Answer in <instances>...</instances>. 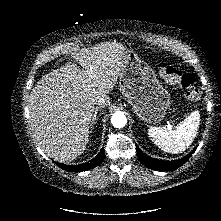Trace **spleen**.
Returning <instances> with one entry per match:
<instances>
[{"instance_id":"spleen-1","label":"spleen","mask_w":221,"mask_h":221,"mask_svg":"<svg viewBox=\"0 0 221 221\" xmlns=\"http://www.w3.org/2000/svg\"><path fill=\"white\" fill-rule=\"evenodd\" d=\"M200 114L194 111L180 122L173 130L160 127H151L148 135L151 140L163 151L179 153L185 151L193 142L200 125Z\"/></svg>"}]
</instances>
